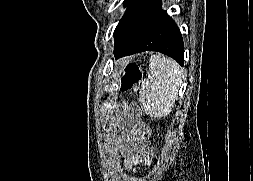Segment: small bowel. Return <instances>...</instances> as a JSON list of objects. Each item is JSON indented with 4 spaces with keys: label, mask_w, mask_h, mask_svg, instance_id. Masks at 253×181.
Returning <instances> with one entry per match:
<instances>
[{
    "label": "small bowel",
    "mask_w": 253,
    "mask_h": 181,
    "mask_svg": "<svg viewBox=\"0 0 253 181\" xmlns=\"http://www.w3.org/2000/svg\"><path fill=\"white\" fill-rule=\"evenodd\" d=\"M126 167L128 169L138 164H148L152 158V149L145 137H134L128 141Z\"/></svg>",
    "instance_id": "obj_1"
}]
</instances>
